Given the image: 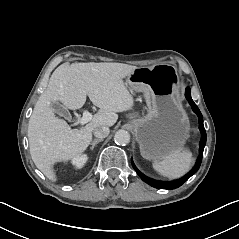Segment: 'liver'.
Returning a JSON list of instances; mask_svg holds the SVG:
<instances>
[{
    "label": "liver",
    "instance_id": "liver-1",
    "mask_svg": "<svg viewBox=\"0 0 239 239\" xmlns=\"http://www.w3.org/2000/svg\"><path fill=\"white\" fill-rule=\"evenodd\" d=\"M123 63H64L50 77L29 119L30 154L36 167L50 180L56 177L51 166L80 156L92 141L99 126H113L117 112L133 107V96L123 79L136 70ZM86 96L99 107L92 120L80 129H71L63 119L55 117L52 101H61L71 110L80 109Z\"/></svg>",
    "mask_w": 239,
    "mask_h": 239
}]
</instances>
